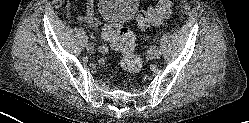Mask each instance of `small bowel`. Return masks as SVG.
<instances>
[{
	"label": "small bowel",
	"mask_w": 249,
	"mask_h": 123,
	"mask_svg": "<svg viewBox=\"0 0 249 123\" xmlns=\"http://www.w3.org/2000/svg\"><path fill=\"white\" fill-rule=\"evenodd\" d=\"M85 1H86L85 14L80 15V16H76L75 18L78 21H81V22L86 23L88 25L96 26L98 24V18L95 14L94 0H85ZM65 8H66L67 16L69 18H72L73 17L72 0H66Z\"/></svg>",
	"instance_id": "obj_1"
}]
</instances>
